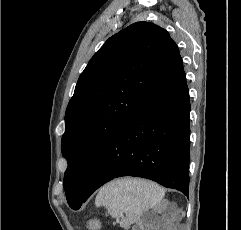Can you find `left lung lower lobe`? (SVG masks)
<instances>
[{
	"label": "left lung lower lobe",
	"mask_w": 241,
	"mask_h": 230,
	"mask_svg": "<svg viewBox=\"0 0 241 230\" xmlns=\"http://www.w3.org/2000/svg\"><path fill=\"white\" fill-rule=\"evenodd\" d=\"M190 108L181 64L105 144L91 182L70 207L79 209L95 190L121 176L147 178L188 196Z\"/></svg>",
	"instance_id": "left-lung-lower-lobe-1"
}]
</instances>
